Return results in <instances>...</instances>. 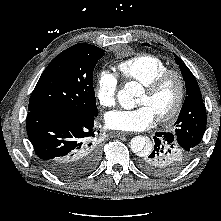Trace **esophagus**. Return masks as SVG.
I'll use <instances>...</instances> for the list:
<instances>
[{"label": "esophagus", "mask_w": 221, "mask_h": 221, "mask_svg": "<svg viewBox=\"0 0 221 221\" xmlns=\"http://www.w3.org/2000/svg\"><path fill=\"white\" fill-rule=\"evenodd\" d=\"M128 135V133H125V132H113L112 133V136H114V137H121V136H127Z\"/></svg>", "instance_id": "34e87169"}]
</instances>
